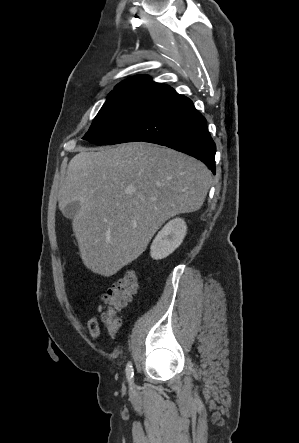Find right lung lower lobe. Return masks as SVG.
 <instances>
[{"label":"right lung lower lobe","mask_w":299,"mask_h":443,"mask_svg":"<svg viewBox=\"0 0 299 443\" xmlns=\"http://www.w3.org/2000/svg\"><path fill=\"white\" fill-rule=\"evenodd\" d=\"M125 142L167 146L203 161L215 174L216 146L206 119L189 98L171 87L108 145Z\"/></svg>","instance_id":"right-lung-lower-lobe-1"}]
</instances>
